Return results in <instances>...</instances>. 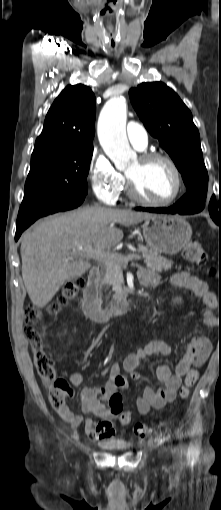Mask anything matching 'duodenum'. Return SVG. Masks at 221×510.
Segmentation results:
<instances>
[{
  "label": "duodenum",
  "mask_w": 221,
  "mask_h": 510,
  "mask_svg": "<svg viewBox=\"0 0 221 510\" xmlns=\"http://www.w3.org/2000/svg\"><path fill=\"white\" fill-rule=\"evenodd\" d=\"M100 269L93 267L89 271L87 286L83 294V311L85 315L94 322L103 323L112 315L125 313L129 311L133 302L129 296H121L113 299L111 304V313L106 314L101 311V294H100Z\"/></svg>",
  "instance_id": "410a0bca"
}]
</instances>
